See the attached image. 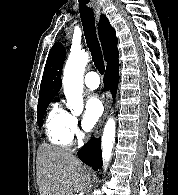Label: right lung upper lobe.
I'll return each mask as SVG.
<instances>
[{
  "instance_id": "right-lung-upper-lobe-1",
  "label": "right lung upper lobe",
  "mask_w": 178,
  "mask_h": 195,
  "mask_svg": "<svg viewBox=\"0 0 178 195\" xmlns=\"http://www.w3.org/2000/svg\"><path fill=\"white\" fill-rule=\"evenodd\" d=\"M98 34L103 48L104 59L107 62V68L118 64V39L115 36L114 28L103 14L100 17ZM65 56V48L61 43L56 42L51 48L45 64L38 105L50 102L61 89V74Z\"/></svg>"
}]
</instances>
